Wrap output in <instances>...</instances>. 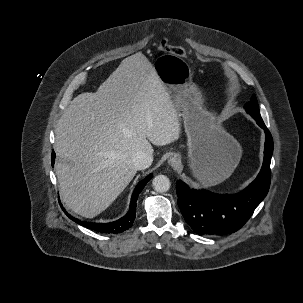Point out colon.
Segmentation results:
<instances>
[{"mask_svg": "<svg viewBox=\"0 0 303 303\" xmlns=\"http://www.w3.org/2000/svg\"><path fill=\"white\" fill-rule=\"evenodd\" d=\"M159 49L163 52H169L178 56H184L185 52L182 48L170 45L167 39H162L159 43Z\"/></svg>", "mask_w": 303, "mask_h": 303, "instance_id": "colon-1", "label": "colon"}]
</instances>
